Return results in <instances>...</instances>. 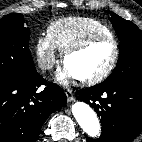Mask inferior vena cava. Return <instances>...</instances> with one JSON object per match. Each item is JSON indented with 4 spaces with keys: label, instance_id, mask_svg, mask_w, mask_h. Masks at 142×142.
<instances>
[{
    "label": "inferior vena cava",
    "instance_id": "obj_1",
    "mask_svg": "<svg viewBox=\"0 0 142 142\" xmlns=\"http://www.w3.org/2000/svg\"><path fill=\"white\" fill-rule=\"evenodd\" d=\"M41 67H42V69H50L53 67V64L50 61H48V62H45L44 64H42Z\"/></svg>",
    "mask_w": 142,
    "mask_h": 142
}]
</instances>
